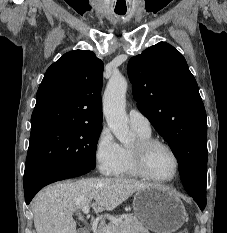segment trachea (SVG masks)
<instances>
[{"label":"trachea","mask_w":227,"mask_h":233,"mask_svg":"<svg viewBox=\"0 0 227 233\" xmlns=\"http://www.w3.org/2000/svg\"><path fill=\"white\" fill-rule=\"evenodd\" d=\"M117 14H119V15H124L125 14V12H116Z\"/></svg>","instance_id":"1"}]
</instances>
